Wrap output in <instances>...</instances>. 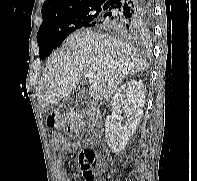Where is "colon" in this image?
Returning a JSON list of instances; mask_svg holds the SVG:
<instances>
[{
    "label": "colon",
    "mask_w": 197,
    "mask_h": 181,
    "mask_svg": "<svg viewBox=\"0 0 197 181\" xmlns=\"http://www.w3.org/2000/svg\"><path fill=\"white\" fill-rule=\"evenodd\" d=\"M47 137L54 149H59L62 139L57 133L58 127L66 128L77 134L82 130L81 118L77 114L53 113L47 119ZM81 171L84 181H94L97 166L103 165V158L90 149H84L79 155Z\"/></svg>",
    "instance_id": "5ec220e1"
}]
</instances>
